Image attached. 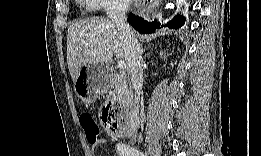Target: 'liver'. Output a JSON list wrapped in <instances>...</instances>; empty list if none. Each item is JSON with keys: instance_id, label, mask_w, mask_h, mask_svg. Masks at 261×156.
<instances>
[{"instance_id": "1", "label": "liver", "mask_w": 261, "mask_h": 156, "mask_svg": "<svg viewBox=\"0 0 261 156\" xmlns=\"http://www.w3.org/2000/svg\"><path fill=\"white\" fill-rule=\"evenodd\" d=\"M125 57V39L108 19L93 17L71 24L67 33V64L73 83L81 68Z\"/></svg>"}]
</instances>
